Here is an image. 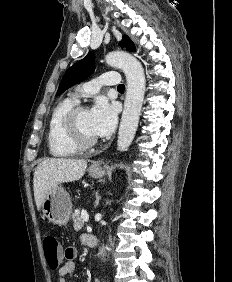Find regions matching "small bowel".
Returning <instances> with one entry per match:
<instances>
[{
	"instance_id": "1",
	"label": "small bowel",
	"mask_w": 232,
	"mask_h": 282,
	"mask_svg": "<svg viewBox=\"0 0 232 282\" xmlns=\"http://www.w3.org/2000/svg\"><path fill=\"white\" fill-rule=\"evenodd\" d=\"M87 236L88 235L84 234L80 237L82 243L86 244ZM66 250L67 254L65 255V258L67 259V262L58 269L57 282H67L66 277L75 273V263L73 262V259L76 257L77 251L71 247ZM94 282H100V280L95 279Z\"/></svg>"
}]
</instances>
